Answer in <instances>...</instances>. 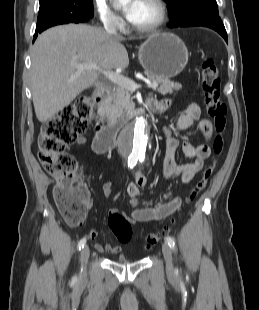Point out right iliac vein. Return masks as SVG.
Segmentation results:
<instances>
[{
	"mask_svg": "<svg viewBox=\"0 0 259 310\" xmlns=\"http://www.w3.org/2000/svg\"><path fill=\"white\" fill-rule=\"evenodd\" d=\"M89 254H90L89 247L85 246L82 249L81 254H80V261H81V266H82V272H81L82 277L86 276V264L89 258Z\"/></svg>",
	"mask_w": 259,
	"mask_h": 310,
	"instance_id": "63e3f726",
	"label": "right iliac vein"
}]
</instances>
